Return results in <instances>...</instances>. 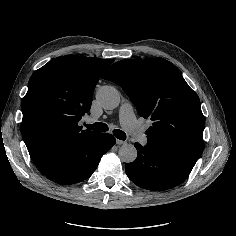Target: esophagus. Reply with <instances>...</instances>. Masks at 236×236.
Segmentation results:
<instances>
[{
  "mask_svg": "<svg viewBox=\"0 0 236 236\" xmlns=\"http://www.w3.org/2000/svg\"><path fill=\"white\" fill-rule=\"evenodd\" d=\"M124 143H125V141H122V140H120V139H116V144L122 145V144H124Z\"/></svg>",
  "mask_w": 236,
  "mask_h": 236,
  "instance_id": "34e87169",
  "label": "esophagus"
}]
</instances>
